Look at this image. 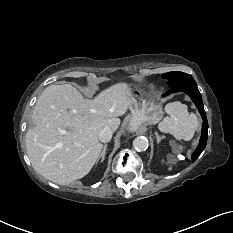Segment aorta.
Returning a JSON list of instances; mask_svg holds the SVG:
<instances>
[{
    "label": "aorta",
    "mask_w": 233,
    "mask_h": 233,
    "mask_svg": "<svg viewBox=\"0 0 233 233\" xmlns=\"http://www.w3.org/2000/svg\"><path fill=\"white\" fill-rule=\"evenodd\" d=\"M149 146L148 139L144 136L136 137L133 141V147L137 151H145Z\"/></svg>",
    "instance_id": "aorta-1"
}]
</instances>
